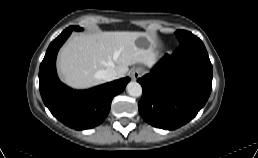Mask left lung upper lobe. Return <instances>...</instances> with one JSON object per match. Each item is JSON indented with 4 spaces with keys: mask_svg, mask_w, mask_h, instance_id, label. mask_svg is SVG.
<instances>
[{
    "mask_svg": "<svg viewBox=\"0 0 258 158\" xmlns=\"http://www.w3.org/2000/svg\"><path fill=\"white\" fill-rule=\"evenodd\" d=\"M178 41L180 43H183L184 41L188 40L189 38L193 37L194 35L191 32L185 31V30H177L175 32Z\"/></svg>",
    "mask_w": 258,
    "mask_h": 158,
    "instance_id": "left-lung-upper-lobe-1",
    "label": "left lung upper lobe"
}]
</instances>
